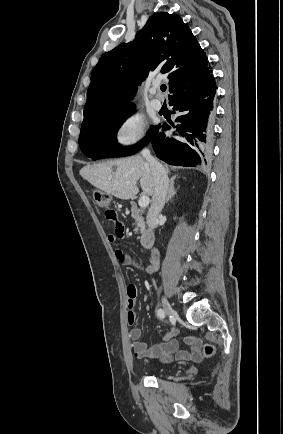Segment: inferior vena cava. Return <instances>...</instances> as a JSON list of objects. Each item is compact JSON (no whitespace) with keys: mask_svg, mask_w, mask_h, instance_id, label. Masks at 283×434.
<instances>
[{"mask_svg":"<svg viewBox=\"0 0 283 434\" xmlns=\"http://www.w3.org/2000/svg\"><path fill=\"white\" fill-rule=\"evenodd\" d=\"M141 154L150 165L155 184L152 204L147 213V224L151 229H154L157 225V216L166 201L167 192L169 191V179L165 168L150 154L148 149H143Z\"/></svg>","mask_w":283,"mask_h":434,"instance_id":"obj_1","label":"inferior vena cava"}]
</instances>
